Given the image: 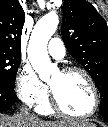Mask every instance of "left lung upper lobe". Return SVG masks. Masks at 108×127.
I'll return each instance as SVG.
<instances>
[{
  "instance_id": "obj_1",
  "label": "left lung upper lobe",
  "mask_w": 108,
  "mask_h": 127,
  "mask_svg": "<svg viewBox=\"0 0 108 127\" xmlns=\"http://www.w3.org/2000/svg\"><path fill=\"white\" fill-rule=\"evenodd\" d=\"M61 34L69 53L92 76L108 114V26L86 0H65Z\"/></svg>"
}]
</instances>
